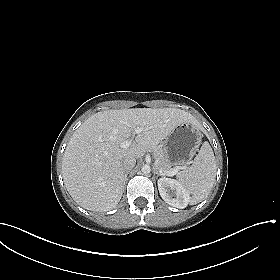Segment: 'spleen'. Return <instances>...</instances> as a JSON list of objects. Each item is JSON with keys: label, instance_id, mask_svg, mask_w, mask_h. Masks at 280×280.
I'll return each instance as SVG.
<instances>
[{"label": "spleen", "instance_id": "1", "mask_svg": "<svg viewBox=\"0 0 280 280\" xmlns=\"http://www.w3.org/2000/svg\"><path fill=\"white\" fill-rule=\"evenodd\" d=\"M216 161L208 142H204L192 166L178 174V182L192 195L191 204L204 200L216 178Z\"/></svg>", "mask_w": 280, "mask_h": 280}]
</instances>
